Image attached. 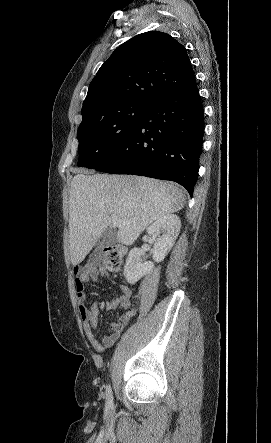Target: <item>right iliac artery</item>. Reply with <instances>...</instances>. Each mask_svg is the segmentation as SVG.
I'll return each instance as SVG.
<instances>
[{"label": "right iliac artery", "instance_id": "82829eb1", "mask_svg": "<svg viewBox=\"0 0 271 443\" xmlns=\"http://www.w3.org/2000/svg\"><path fill=\"white\" fill-rule=\"evenodd\" d=\"M106 402L109 407L113 406V394L110 385L106 387Z\"/></svg>", "mask_w": 271, "mask_h": 443}]
</instances>
